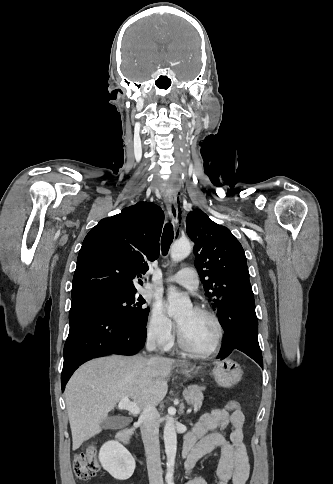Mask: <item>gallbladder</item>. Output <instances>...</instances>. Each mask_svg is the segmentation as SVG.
I'll list each match as a JSON object with an SVG mask.
<instances>
[{"label":"gallbladder","instance_id":"bac80fb5","mask_svg":"<svg viewBox=\"0 0 333 484\" xmlns=\"http://www.w3.org/2000/svg\"><path fill=\"white\" fill-rule=\"evenodd\" d=\"M102 429H119L124 427L123 417L121 416H110L101 422Z\"/></svg>","mask_w":333,"mask_h":484}]
</instances>
